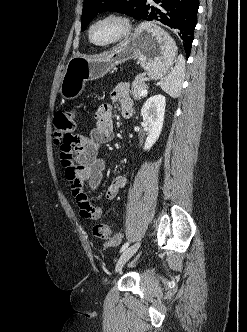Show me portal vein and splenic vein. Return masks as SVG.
I'll list each match as a JSON object with an SVG mask.
<instances>
[{
    "label": "portal vein and splenic vein",
    "instance_id": "obj_1",
    "mask_svg": "<svg viewBox=\"0 0 247 332\" xmlns=\"http://www.w3.org/2000/svg\"><path fill=\"white\" fill-rule=\"evenodd\" d=\"M147 92H148V91H147L146 89L142 90L141 93H140V96H144V95H146Z\"/></svg>",
    "mask_w": 247,
    "mask_h": 332
}]
</instances>
